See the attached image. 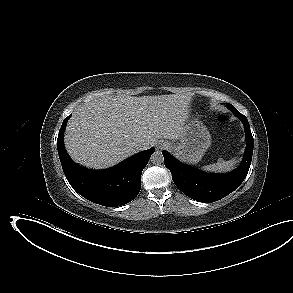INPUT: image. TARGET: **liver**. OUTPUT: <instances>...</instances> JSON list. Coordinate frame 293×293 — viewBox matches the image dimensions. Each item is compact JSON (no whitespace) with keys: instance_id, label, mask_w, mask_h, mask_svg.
I'll return each mask as SVG.
<instances>
[{"instance_id":"1","label":"liver","mask_w":293,"mask_h":293,"mask_svg":"<svg viewBox=\"0 0 293 293\" xmlns=\"http://www.w3.org/2000/svg\"><path fill=\"white\" fill-rule=\"evenodd\" d=\"M193 93L160 96H106L78 107L67 123L66 150L88 168L111 167L135 154L136 144L182 137Z\"/></svg>"}]
</instances>
